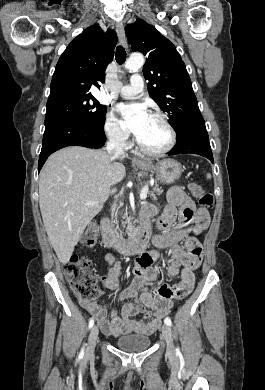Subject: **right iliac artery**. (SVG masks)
<instances>
[{"instance_id": "obj_1", "label": "right iliac artery", "mask_w": 265, "mask_h": 390, "mask_svg": "<svg viewBox=\"0 0 265 390\" xmlns=\"http://www.w3.org/2000/svg\"><path fill=\"white\" fill-rule=\"evenodd\" d=\"M93 325H94V319L91 318L90 321H89V328H92ZM83 356H84V347L80 351L79 358L82 359Z\"/></svg>"}]
</instances>
